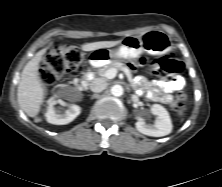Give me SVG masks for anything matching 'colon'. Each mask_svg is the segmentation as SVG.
<instances>
[{
	"label": "colon",
	"instance_id": "1",
	"mask_svg": "<svg viewBox=\"0 0 222 187\" xmlns=\"http://www.w3.org/2000/svg\"><path fill=\"white\" fill-rule=\"evenodd\" d=\"M83 63L82 53L71 46H59L49 51L41 65L40 77L44 84L54 85L64 75L78 71ZM154 72L159 77H169L179 74L182 70L181 62L170 57H162L153 63ZM187 95L180 93L173 103L177 110H183Z\"/></svg>",
	"mask_w": 222,
	"mask_h": 187
}]
</instances>
